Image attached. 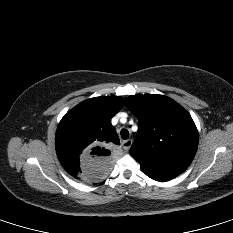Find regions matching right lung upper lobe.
<instances>
[{"label":"right lung upper lobe","instance_id":"1","mask_svg":"<svg viewBox=\"0 0 233 233\" xmlns=\"http://www.w3.org/2000/svg\"><path fill=\"white\" fill-rule=\"evenodd\" d=\"M123 105L119 96L85 100L61 119L55 136L58 159L74 178L91 183L106 178L119 158V137L111 118Z\"/></svg>","mask_w":233,"mask_h":233}]
</instances>
